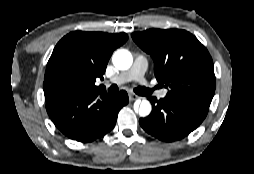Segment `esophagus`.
Listing matches in <instances>:
<instances>
[{
    "label": "esophagus",
    "mask_w": 254,
    "mask_h": 174,
    "mask_svg": "<svg viewBox=\"0 0 254 174\" xmlns=\"http://www.w3.org/2000/svg\"><path fill=\"white\" fill-rule=\"evenodd\" d=\"M139 98V96H137L136 94H134V93H129V100L130 101H134V100H136V99H138Z\"/></svg>",
    "instance_id": "esophagus-1"
}]
</instances>
